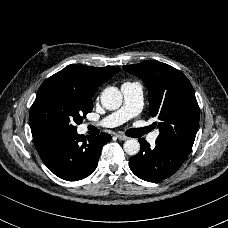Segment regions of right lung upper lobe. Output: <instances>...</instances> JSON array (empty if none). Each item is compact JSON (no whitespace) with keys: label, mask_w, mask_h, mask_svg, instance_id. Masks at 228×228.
Listing matches in <instances>:
<instances>
[{"label":"right lung upper lobe","mask_w":228,"mask_h":228,"mask_svg":"<svg viewBox=\"0 0 228 228\" xmlns=\"http://www.w3.org/2000/svg\"><path fill=\"white\" fill-rule=\"evenodd\" d=\"M120 71L118 67H90L84 65L69 66L54 74L53 78L75 85L84 95L92 97L98 87L114 74Z\"/></svg>","instance_id":"right-lung-upper-lobe-1"}]
</instances>
